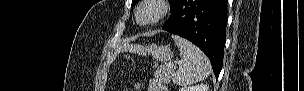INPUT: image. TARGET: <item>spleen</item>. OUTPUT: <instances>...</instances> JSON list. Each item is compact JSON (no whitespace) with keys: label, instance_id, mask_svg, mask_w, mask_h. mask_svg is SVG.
I'll use <instances>...</instances> for the list:
<instances>
[{"label":"spleen","instance_id":"spleen-1","mask_svg":"<svg viewBox=\"0 0 304 91\" xmlns=\"http://www.w3.org/2000/svg\"><path fill=\"white\" fill-rule=\"evenodd\" d=\"M179 48L181 61L174 75V83L187 86L206 79L211 73V64L205 54L194 44L179 36H172Z\"/></svg>","mask_w":304,"mask_h":91}]
</instances>
